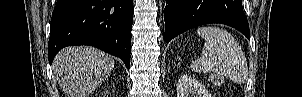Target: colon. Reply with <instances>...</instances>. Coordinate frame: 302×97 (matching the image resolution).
<instances>
[{
    "mask_svg": "<svg viewBox=\"0 0 302 97\" xmlns=\"http://www.w3.org/2000/svg\"><path fill=\"white\" fill-rule=\"evenodd\" d=\"M212 80L216 83L220 82V79L213 77Z\"/></svg>",
    "mask_w": 302,
    "mask_h": 97,
    "instance_id": "1",
    "label": "colon"
}]
</instances>
